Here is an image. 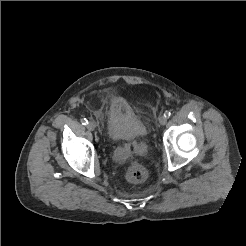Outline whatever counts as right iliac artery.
I'll use <instances>...</instances> for the list:
<instances>
[{
	"label": "right iliac artery",
	"mask_w": 246,
	"mask_h": 246,
	"mask_svg": "<svg viewBox=\"0 0 246 246\" xmlns=\"http://www.w3.org/2000/svg\"><path fill=\"white\" fill-rule=\"evenodd\" d=\"M81 123H82L83 125H87V124H88V120H87L86 118H82V119H81Z\"/></svg>",
	"instance_id": "1"
}]
</instances>
